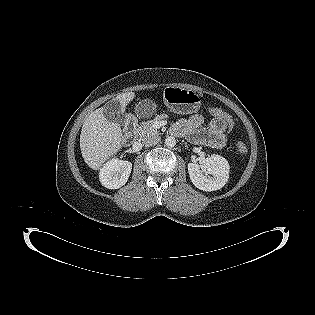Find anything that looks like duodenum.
<instances>
[{"label": "duodenum", "mask_w": 315, "mask_h": 315, "mask_svg": "<svg viewBox=\"0 0 315 315\" xmlns=\"http://www.w3.org/2000/svg\"><path fill=\"white\" fill-rule=\"evenodd\" d=\"M136 126H137V121L135 117L129 116L126 118L125 124H124V136H123V142L125 144L129 143V141L131 140L135 132Z\"/></svg>", "instance_id": "duodenum-1"}]
</instances>
